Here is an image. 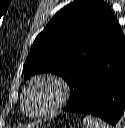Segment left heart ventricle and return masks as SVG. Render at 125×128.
Masks as SVG:
<instances>
[{
    "mask_svg": "<svg viewBox=\"0 0 125 128\" xmlns=\"http://www.w3.org/2000/svg\"><path fill=\"white\" fill-rule=\"evenodd\" d=\"M53 99L50 88L46 85H37L27 97V106L36 111L49 105Z\"/></svg>",
    "mask_w": 125,
    "mask_h": 128,
    "instance_id": "left-heart-ventricle-1",
    "label": "left heart ventricle"
}]
</instances>
